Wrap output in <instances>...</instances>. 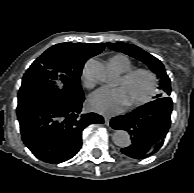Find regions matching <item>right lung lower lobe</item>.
Returning a JSON list of instances; mask_svg holds the SVG:
<instances>
[{
	"label": "right lung lower lobe",
	"mask_w": 194,
	"mask_h": 193,
	"mask_svg": "<svg viewBox=\"0 0 194 193\" xmlns=\"http://www.w3.org/2000/svg\"><path fill=\"white\" fill-rule=\"evenodd\" d=\"M84 96L70 101H39L17 106L22 140L30 151L47 163L71 159L82 146V131L89 124L103 123L96 113H81Z\"/></svg>",
	"instance_id": "98d812e1"
}]
</instances>
